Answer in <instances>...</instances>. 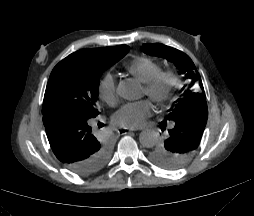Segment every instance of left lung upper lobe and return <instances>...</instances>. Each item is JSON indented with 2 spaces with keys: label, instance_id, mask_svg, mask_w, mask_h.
Instances as JSON below:
<instances>
[{
  "label": "left lung upper lobe",
  "instance_id": "1",
  "mask_svg": "<svg viewBox=\"0 0 254 216\" xmlns=\"http://www.w3.org/2000/svg\"><path fill=\"white\" fill-rule=\"evenodd\" d=\"M144 53L173 62L190 80L162 121L161 130L168 129L164 145L154 147L150 157L159 165L175 169L195 155L206 126L208 111L206 95L198 71L188 55L163 44H143Z\"/></svg>",
  "mask_w": 254,
  "mask_h": 216
}]
</instances>
